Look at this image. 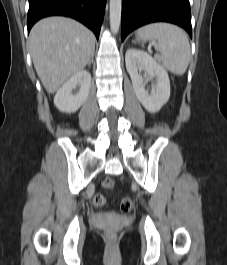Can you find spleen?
Masks as SVG:
<instances>
[{"label":"spleen","mask_w":227,"mask_h":265,"mask_svg":"<svg viewBox=\"0 0 227 265\" xmlns=\"http://www.w3.org/2000/svg\"><path fill=\"white\" fill-rule=\"evenodd\" d=\"M137 36L151 42L155 50L160 52L162 63L169 71L175 75L185 73L191 49L183 29L169 23H152L141 27Z\"/></svg>","instance_id":"3e777b00"}]
</instances>
